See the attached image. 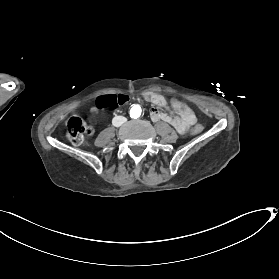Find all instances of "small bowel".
Masks as SVG:
<instances>
[{"instance_id":"obj_1","label":"small bowel","mask_w":279,"mask_h":279,"mask_svg":"<svg viewBox=\"0 0 279 279\" xmlns=\"http://www.w3.org/2000/svg\"><path fill=\"white\" fill-rule=\"evenodd\" d=\"M145 98L148 101H150L155 107L173 108V114H167L159 111L157 108H153L150 112V116L151 119L154 121H164L172 125L176 129V131L181 135H184L196 122V118L193 114L182 117H179L176 114V107L179 101L175 99L168 101L163 95L158 93H147L145 94ZM93 113H95V110H93Z\"/></svg>"}]
</instances>
